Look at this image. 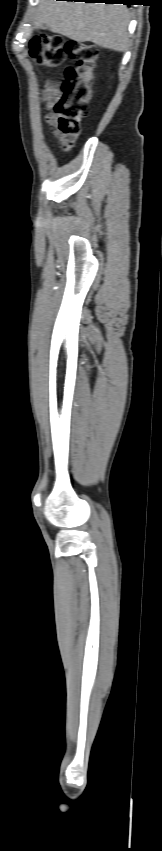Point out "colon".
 Segmentation results:
<instances>
[{
    "label": "colon",
    "mask_w": 162,
    "mask_h": 851,
    "mask_svg": "<svg viewBox=\"0 0 162 851\" xmlns=\"http://www.w3.org/2000/svg\"><path fill=\"white\" fill-rule=\"evenodd\" d=\"M30 56L40 64L61 65L66 56L74 61L65 68L60 85V97L55 104L56 126L73 143L81 133V122L87 114L90 82L93 77L98 49L78 41L64 42L56 34L33 37L28 45Z\"/></svg>",
    "instance_id": "1"
}]
</instances>
